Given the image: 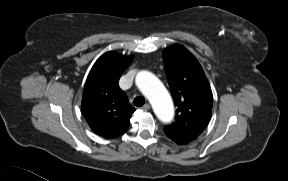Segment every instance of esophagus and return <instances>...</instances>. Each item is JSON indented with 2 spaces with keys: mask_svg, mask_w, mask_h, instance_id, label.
Wrapping results in <instances>:
<instances>
[{
  "mask_svg": "<svg viewBox=\"0 0 288 181\" xmlns=\"http://www.w3.org/2000/svg\"><path fill=\"white\" fill-rule=\"evenodd\" d=\"M141 109H142L143 111H147V110L150 109V105L147 103V104L143 105V106L141 107Z\"/></svg>",
  "mask_w": 288,
  "mask_h": 181,
  "instance_id": "obj_1",
  "label": "esophagus"
}]
</instances>
